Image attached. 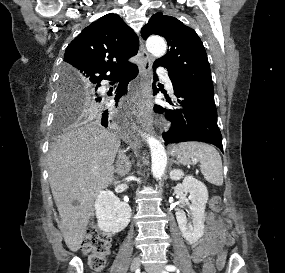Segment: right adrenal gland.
<instances>
[{"label": "right adrenal gland", "mask_w": 285, "mask_h": 273, "mask_svg": "<svg viewBox=\"0 0 285 273\" xmlns=\"http://www.w3.org/2000/svg\"><path fill=\"white\" fill-rule=\"evenodd\" d=\"M119 156L124 160V162L127 164L128 169L126 171H122L120 168H116L115 172L119 175H124L125 173H127L130 170V162L128 160V158L123 154V152H119Z\"/></svg>", "instance_id": "obj_1"}]
</instances>
